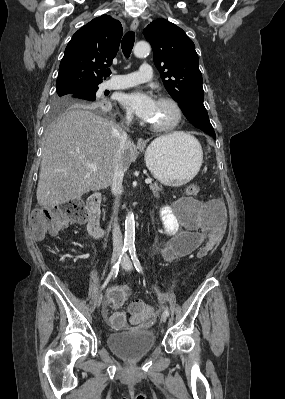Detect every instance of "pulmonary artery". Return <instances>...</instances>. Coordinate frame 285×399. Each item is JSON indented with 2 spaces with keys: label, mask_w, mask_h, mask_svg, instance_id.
<instances>
[{
  "label": "pulmonary artery",
  "mask_w": 285,
  "mask_h": 399,
  "mask_svg": "<svg viewBox=\"0 0 285 399\" xmlns=\"http://www.w3.org/2000/svg\"><path fill=\"white\" fill-rule=\"evenodd\" d=\"M152 78V70L149 63H142L139 69L135 72L117 73L113 79L104 84L105 89H125L140 83H143Z\"/></svg>",
  "instance_id": "1"
}]
</instances>
